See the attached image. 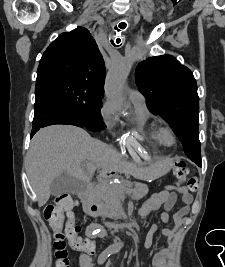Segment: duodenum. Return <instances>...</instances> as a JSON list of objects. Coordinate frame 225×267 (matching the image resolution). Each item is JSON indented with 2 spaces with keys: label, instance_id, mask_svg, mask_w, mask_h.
I'll use <instances>...</instances> for the list:
<instances>
[{
  "label": "duodenum",
  "instance_id": "duodenum-1",
  "mask_svg": "<svg viewBox=\"0 0 225 267\" xmlns=\"http://www.w3.org/2000/svg\"><path fill=\"white\" fill-rule=\"evenodd\" d=\"M83 209L85 213L90 217H95L98 215L97 203L95 201H92L90 196L85 197V200L83 202ZM108 225L112 228H119L125 226L123 224H114V225L108 224Z\"/></svg>",
  "mask_w": 225,
  "mask_h": 267
}]
</instances>
